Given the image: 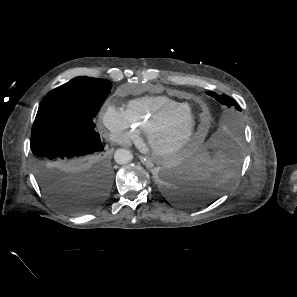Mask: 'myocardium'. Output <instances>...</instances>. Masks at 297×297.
I'll return each mask as SVG.
<instances>
[{
    "label": "myocardium",
    "mask_w": 297,
    "mask_h": 297,
    "mask_svg": "<svg viewBox=\"0 0 297 297\" xmlns=\"http://www.w3.org/2000/svg\"><path fill=\"white\" fill-rule=\"evenodd\" d=\"M195 118L190 125L185 136L170 146H160L156 140L158 135L163 132L170 124L178 121L181 118ZM200 126L199 117L195 114L191 107H186L183 110L175 112L173 114L165 115L152 124L146 131V139L151 152L161 159H169L180 153L185 147H187L195 135L198 133Z\"/></svg>",
    "instance_id": "f54148a6"
}]
</instances>
